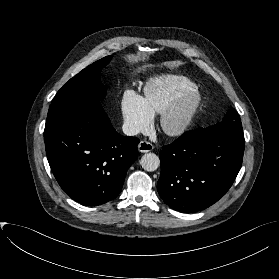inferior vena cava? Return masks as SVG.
I'll use <instances>...</instances> for the list:
<instances>
[{"label":"inferior vena cava","instance_id":"1","mask_svg":"<svg viewBox=\"0 0 279 279\" xmlns=\"http://www.w3.org/2000/svg\"><path fill=\"white\" fill-rule=\"evenodd\" d=\"M122 130L127 136H134L139 133V128L131 122H125L122 126Z\"/></svg>","mask_w":279,"mask_h":279}]
</instances>
